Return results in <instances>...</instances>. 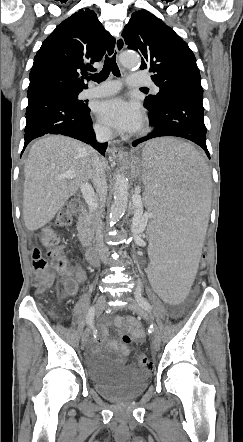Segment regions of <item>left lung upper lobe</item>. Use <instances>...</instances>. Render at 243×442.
I'll return each instance as SVG.
<instances>
[{"instance_id": "obj_1", "label": "left lung upper lobe", "mask_w": 243, "mask_h": 442, "mask_svg": "<svg viewBox=\"0 0 243 442\" xmlns=\"http://www.w3.org/2000/svg\"><path fill=\"white\" fill-rule=\"evenodd\" d=\"M129 49L142 56L141 70L154 73L152 80L159 93L149 95L144 107L157 112L164 98L180 86H201L200 71L188 44L161 19L146 10L132 14L122 34Z\"/></svg>"}]
</instances>
